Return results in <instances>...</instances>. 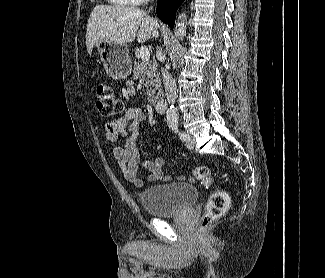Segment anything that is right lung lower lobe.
<instances>
[{
  "mask_svg": "<svg viewBox=\"0 0 325 278\" xmlns=\"http://www.w3.org/2000/svg\"><path fill=\"white\" fill-rule=\"evenodd\" d=\"M184 0H158L156 14L173 29L176 11Z\"/></svg>",
  "mask_w": 325,
  "mask_h": 278,
  "instance_id": "1",
  "label": "right lung lower lobe"
}]
</instances>
